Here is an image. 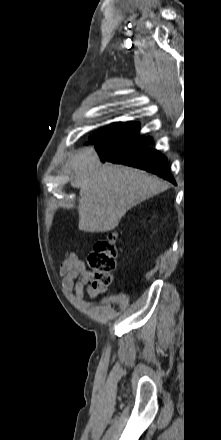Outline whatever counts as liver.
I'll return each instance as SVG.
<instances>
[{"mask_svg": "<svg viewBox=\"0 0 221 440\" xmlns=\"http://www.w3.org/2000/svg\"><path fill=\"white\" fill-rule=\"evenodd\" d=\"M71 186L80 189L78 228L85 232L115 229L126 212L166 190L156 176L122 165L102 164L94 148H84L68 161Z\"/></svg>", "mask_w": 221, "mask_h": 440, "instance_id": "1", "label": "liver"}]
</instances>
